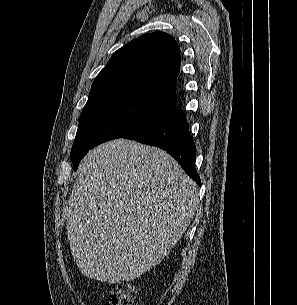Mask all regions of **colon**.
<instances>
[{
	"label": "colon",
	"instance_id": "1",
	"mask_svg": "<svg viewBox=\"0 0 297 305\" xmlns=\"http://www.w3.org/2000/svg\"><path fill=\"white\" fill-rule=\"evenodd\" d=\"M106 305H141L136 286L127 281L120 283L110 293Z\"/></svg>",
	"mask_w": 297,
	"mask_h": 305
}]
</instances>
